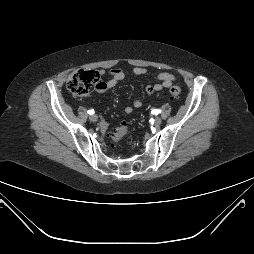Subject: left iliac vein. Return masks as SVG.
Returning <instances> with one entry per match:
<instances>
[{"label": "left iliac vein", "instance_id": "left-iliac-vein-1", "mask_svg": "<svg viewBox=\"0 0 254 254\" xmlns=\"http://www.w3.org/2000/svg\"><path fill=\"white\" fill-rule=\"evenodd\" d=\"M162 123V119L160 117H156L154 119L155 126H159Z\"/></svg>", "mask_w": 254, "mask_h": 254}]
</instances>
